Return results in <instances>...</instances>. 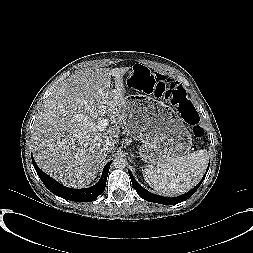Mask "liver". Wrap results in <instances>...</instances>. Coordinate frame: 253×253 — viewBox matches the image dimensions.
Segmentation results:
<instances>
[{"label": "liver", "mask_w": 253, "mask_h": 253, "mask_svg": "<svg viewBox=\"0 0 253 253\" xmlns=\"http://www.w3.org/2000/svg\"><path fill=\"white\" fill-rule=\"evenodd\" d=\"M128 70L85 68L52 90L31 131L33 156L44 172L75 188L96 178L107 156L104 145L114 150L118 142L125 116L123 76ZM105 115L115 125L93 131L90 124Z\"/></svg>", "instance_id": "6515ba94"}]
</instances>
